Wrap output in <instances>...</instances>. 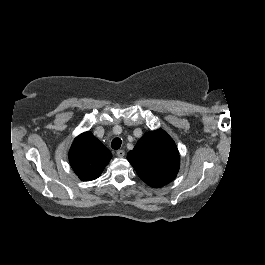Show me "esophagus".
Segmentation results:
<instances>
[{
    "label": "esophagus",
    "instance_id": "1",
    "mask_svg": "<svg viewBox=\"0 0 265 265\" xmlns=\"http://www.w3.org/2000/svg\"><path fill=\"white\" fill-rule=\"evenodd\" d=\"M116 154H117V156H118L119 158H123L124 155H125V151H124V150H118Z\"/></svg>",
    "mask_w": 265,
    "mask_h": 265
}]
</instances>
